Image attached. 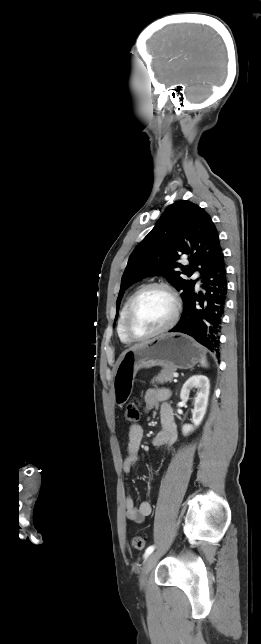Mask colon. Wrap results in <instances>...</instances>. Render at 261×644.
I'll list each match as a JSON object with an SVG mask.
<instances>
[{"label":"colon","instance_id":"colon-1","mask_svg":"<svg viewBox=\"0 0 261 644\" xmlns=\"http://www.w3.org/2000/svg\"><path fill=\"white\" fill-rule=\"evenodd\" d=\"M125 419L128 423L135 424L140 419V410L135 402H129L125 410ZM135 549L141 550L145 546V539L141 535H134L131 540Z\"/></svg>","mask_w":261,"mask_h":644}]
</instances>
